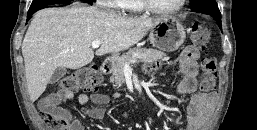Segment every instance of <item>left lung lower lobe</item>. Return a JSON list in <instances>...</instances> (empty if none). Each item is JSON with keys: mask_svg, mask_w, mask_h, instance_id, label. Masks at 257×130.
<instances>
[{"mask_svg": "<svg viewBox=\"0 0 257 130\" xmlns=\"http://www.w3.org/2000/svg\"><path fill=\"white\" fill-rule=\"evenodd\" d=\"M213 17L217 20L220 29H222V26H221V15L220 16H213Z\"/></svg>", "mask_w": 257, "mask_h": 130, "instance_id": "1", "label": "left lung lower lobe"}]
</instances>
